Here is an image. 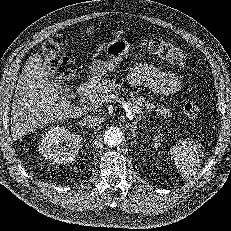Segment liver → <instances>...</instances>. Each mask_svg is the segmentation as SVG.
I'll return each instance as SVG.
<instances>
[{"instance_id":"6515ba94","label":"liver","mask_w":231,"mask_h":231,"mask_svg":"<svg viewBox=\"0 0 231 231\" xmlns=\"http://www.w3.org/2000/svg\"><path fill=\"white\" fill-rule=\"evenodd\" d=\"M92 28L87 31L91 32ZM39 54L25 63L15 90L11 110V134L14 140L46 124L80 117L85 110L73 105L49 82Z\"/></svg>"}]
</instances>
